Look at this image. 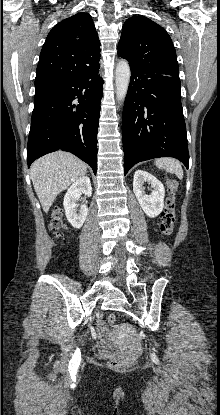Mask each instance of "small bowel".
Segmentation results:
<instances>
[{"label": "small bowel", "mask_w": 220, "mask_h": 415, "mask_svg": "<svg viewBox=\"0 0 220 415\" xmlns=\"http://www.w3.org/2000/svg\"><path fill=\"white\" fill-rule=\"evenodd\" d=\"M100 341L102 345L108 347L110 345V339L108 338L105 330L103 328H100L99 331Z\"/></svg>", "instance_id": "small-bowel-1"}]
</instances>
